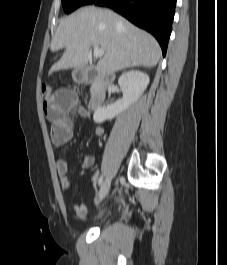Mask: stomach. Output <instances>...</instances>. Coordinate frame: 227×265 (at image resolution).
I'll return each instance as SVG.
<instances>
[{
  "instance_id": "1",
  "label": "stomach",
  "mask_w": 227,
  "mask_h": 265,
  "mask_svg": "<svg viewBox=\"0 0 227 265\" xmlns=\"http://www.w3.org/2000/svg\"><path fill=\"white\" fill-rule=\"evenodd\" d=\"M72 76L74 79H76V71H73Z\"/></svg>"
}]
</instances>
